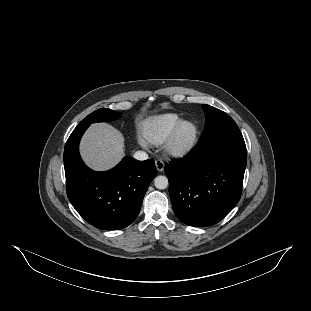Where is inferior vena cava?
<instances>
[{
  "label": "inferior vena cava",
  "mask_w": 311,
  "mask_h": 311,
  "mask_svg": "<svg viewBox=\"0 0 311 311\" xmlns=\"http://www.w3.org/2000/svg\"><path fill=\"white\" fill-rule=\"evenodd\" d=\"M133 157L137 160L144 161L148 159V154L144 151H136Z\"/></svg>",
  "instance_id": "inferior-vena-cava-1"
}]
</instances>
